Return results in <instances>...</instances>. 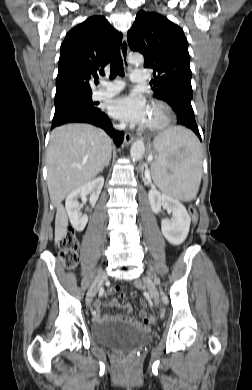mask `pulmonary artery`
<instances>
[{
	"label": "pulmonary artery",
	"mask_w": 252,
	"mask_h": 390,
	"mask_svg": "<svg viewBox=\"0 0 252 390\" xmlns=\"http://www.w3.org/2000/svg\"><path fill=\"white\" fill-rule=\"evenodd\" d=\"M130 80L132 82H144L147 80V74L145 70L136 69L130 73ZM124 87L122 81L106 82L101 81L100 87L93 93V98L100 100L103 98L111 97L117 94Z\"/></svg>",
	"instance_id": "1"
}]
</instances>
